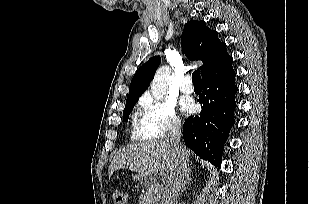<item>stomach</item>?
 Wrapping results in <instances>:
<instances>
[{
	"label": "stomach",
	"instance_id": "1",
	"mask_svg": "<svg viewBox=\"0 0 309 204\" xmlns=\"http://www.w3.org/2000/svg\"><path fill=\"white\" fill-rule=\"evenodd\" d=\"M132 177L136 179L137 181H140L144 185L148 186L150 185L152 178L143 174H133Z\"/></svg>",
	"mask_w": 309,
	"mask_h": 204
}]
</instances>
